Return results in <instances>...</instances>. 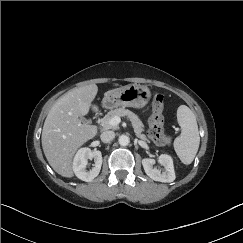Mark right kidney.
Segmentation results:
<instances>
[{
    "mask_svg": "<svg viewBox=\"0 0 243 243\" xmlns=\"http://www.w3.org/2000/svg\"><path fill=\"white\" fill-rule=\"evenodd\" d=\"M88 159H94V167L86 170ZM102 166V153L99 150L92 151L90 148H81L76 153L73 160V171L75 175L86 182L92 181L98 176Z\"/></svg>",
    "mask_w": 243,
    "mask_h": 243,
    "instance_id": "1",
    "label": "right kidney"
}]
</instances>
